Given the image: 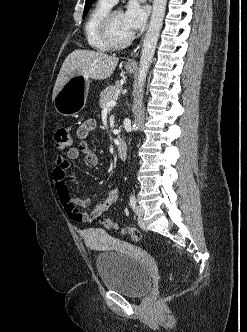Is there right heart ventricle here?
Segmentation results:
<instances>
[{"label": "right heart ventricle", "mask_w": 247, "mask_h": 332, "mask_svg": "<svg viewBox=\"0 0 247 332\" xmlns=\"http://www.w3.org/2000/svg\"><path fill=\"white\" fill-rule=\"evenodd\" d=\"M111 7L112 5L107 1L98 0L90 11L84 25V34L88 46L99 52H106L110 49L101 40L98 27L102 18L111 9Z\"/></svg>", "instance_id": "right-heart-ventricle-1"}]
</instances>
